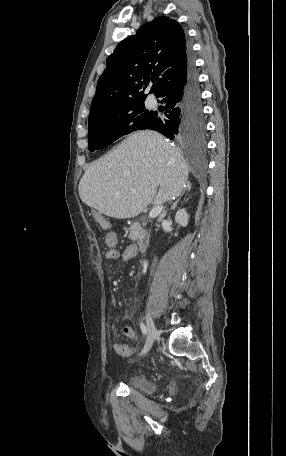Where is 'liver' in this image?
I'll return each instance as SVG.
<instances>
[{"instance_id":"1","label":"liver","mask_w":286,"mask_h":456,"mask_svg":"<svg viewBox=\"0 0 286 456\" xmlns=\"http://www.w3.org/2000/svg\"><path fill=\"white\" fill-rule=\"evenodd\" d=\"M189 168L163 135L138 131L92 163L79 182L81 200L113 218H131L186 187ZM159 191L157 193V187Z\"/></svg>"}]
</instances>
